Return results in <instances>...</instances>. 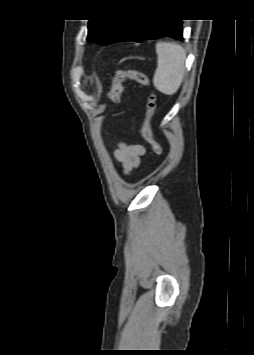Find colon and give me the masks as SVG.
Instances as JSON below:
<instances>
[{
  "mask_svg": "<svg viewBox=\"0 0 254 355\" xmlns=\"http://www.w3.org/2000/svg\"><path fill=\"white\" fill-rule=\"evenodd\" d=\"M126 80H133L141 85L149 86L150 81L148 77L137 70H120L117 71L111 88L107 93V98L112 103H118L120 101L123 84ZM156 110V95L153 91L150 92L146 102L145 118L142 125V137L151 146L153 152L157 155L162 153L161 144L155 139L152 131V120Z\"/></svg>",
  "mask_w": 254,
  "mask_h": 355,
  "instance_id": "1",
  "label": "colon"
}]
</instances>
